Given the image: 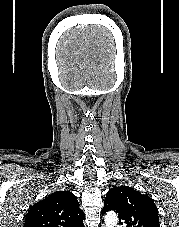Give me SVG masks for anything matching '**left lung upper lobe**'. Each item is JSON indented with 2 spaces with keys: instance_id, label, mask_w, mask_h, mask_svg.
<instances>
[{
  "instance_id": "1",
  "label": "left lung upper lobe",
  "mask_w": 179,
  "mask_h": 227,
  "mask_svg": "<svg viewBox=\"0 0 179 227\" xmlns=\"http://www.w3.org/2000/svg\"><path fill=\"white\" fill-rule=\"evenodd\" d=\"M108 211L118 213L119 223L126 227H160L153 200L128 186H115L108 191L101 213Z\"/></svg>"
}]
</instances>
